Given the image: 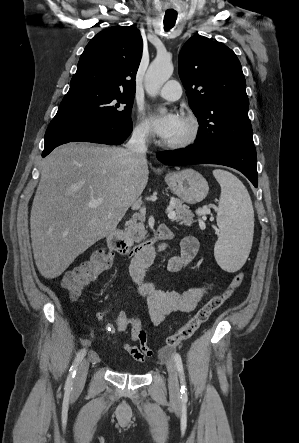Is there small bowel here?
Segmentation results:
<instances>
[{
  "label": "small bowel",
  "mask_w": 299,
  "mask_h": 443,
  "mask_svg": "<svg viewBox=\"0 0 299 443\" xmlns=\"http://www.w3.org/2000/svg\"><path fill=\"white\" fill-rule=\"evenodd\" d=\"M170 232L173 236L171 230ZM197 251V239L192 236L184 238L181 243L180 254L167 257L166 265L168 270L172 272L181 271L194 258ZM145 268L132 263L129 273L140 295L146 300L147 310L154 325L162 324L167 316L173 312H191L195 310L210 289V285L204 283L200 287H192L183 292L161 290L146 279ZM96 318L102 321L103 315L97 313ZM105 331L109 334L116 333L113 324L110 323L105 326ZM124 348L137 362H144L147 358L153 356L152 349L147 345V334L143 341L137 345L125 342ZM91 356L95 358L94 354H91Z\"/></svg>",
  "instance_id": "small-bowel-1"
}]
</instances>
